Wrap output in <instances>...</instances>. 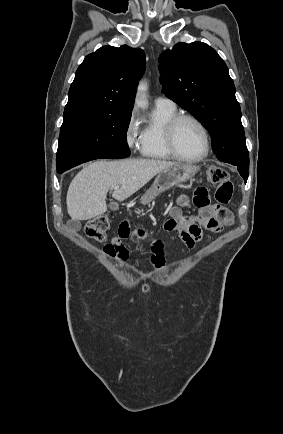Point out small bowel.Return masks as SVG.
Returning a JSON list of instances; mask_svg holds the SVG:
<instances>
[{
	"instance_id": "small-bowel-1",
	"label": "small bowel",
	"mask_w": 283,
	"mask_h": 434,
	"mask_svg": "<svg viewBox=\"0 0 283 434\" xmlns=\"http://www.w3.org/2000/svg\"><path fill=\"white\" fill-rule=\"evenodd\" d=\"M193 202L199 211L195 217H188L183 214L182 209L189 204V197L185 194L178 196L176 204L170 210V219L164 224L167 231L178 233L181 241L189 249H194L202 241L203 230L219 233L233 223V215L230 210L210 204L206 188L198 187L195 190ZM144 237L145 232L143 230L131 231L129 222L124 220L119 225L117 236L113 237L105 247V253L110 257L125 261L128 258V250L123 246V241L139 240ZM151 248L153 252L152 264L156 269H160L164 265L163 245L161 241L153 240Z\"/></svg>"
}]
</instances>
